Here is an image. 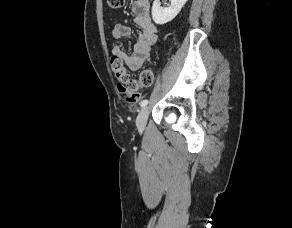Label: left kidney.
<instances>
[{
    "mask_svg": "<svg viewBox=\"0 0 292 228\" xmlns=\"http://www.w3.org/2000/svg\"><path fill=\"white\" fill-rule=\"evenodd\" d=\"M168 7H162L160 0H154L152 18L156 24H165L177 16L187 0H170Z\"/></svg>",
    "mask_w": 292,
    "mask_h": 228,
    "instance_id": "left-kidney-1",
    "label": "left kidney"
}]
</instances>
